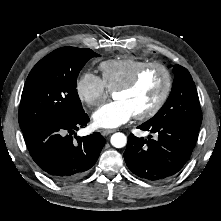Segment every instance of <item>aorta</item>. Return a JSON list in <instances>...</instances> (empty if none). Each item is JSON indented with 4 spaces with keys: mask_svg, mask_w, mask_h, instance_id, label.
<instances>
[{
    "mask_svg": "<svg viewBox=\"0 0 221 221\" xmlns=\"http://www.w3.org/2000/svg\"><path fill=\"white\" fill-rule=\"evenodd\" d=\"M111 144L116 148H122L127 143V138L123 133H115L111 136Z\"/></svg>",
    "mask_w": 221,
    "mask_h": 221,
    "instance_id": "762f6f07",
    "label": "aorta"
}]
</instances>
